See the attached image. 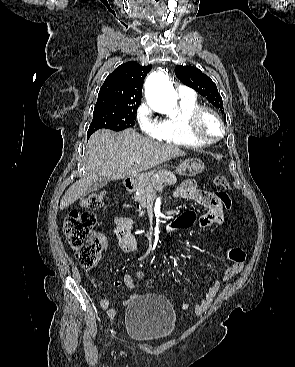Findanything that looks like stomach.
Instances as JSON below:
<instances>
[{
    "label": "stomach",
    "instance_id": "stomach-1",
    "mask_svg": "<svg viewBox=\"0 0 295 367\" xmlns=\"http://www.w3.org/2000/svg\"><path fill=\"white\" fill-rule=\"evenodd\" d=\"M204 169V163L199 159H187L182 162L178 168H176V173L182 176H195L202 172ZM151 173H146L139 176L135 180V184L138 187L139 185L143 184L144 182L148 181L151 178Z\"/></svg>",
    "mask_w": 295,
    "mask_h": 367
}]
</instances>
